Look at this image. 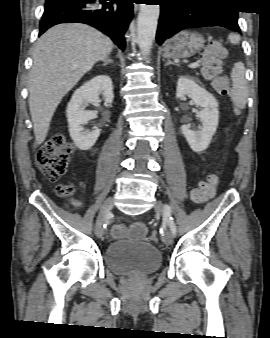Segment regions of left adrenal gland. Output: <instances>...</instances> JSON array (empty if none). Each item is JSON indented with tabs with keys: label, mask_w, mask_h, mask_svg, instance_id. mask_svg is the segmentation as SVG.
Here are the masks:
<instances>
[{
	"label": "left adrenal gland",
	"mask_w": 270,
	"mask_h": 338,
	"mask_svg": "<svg viewBox=\"0 0 270 338\" xmlns=\"http://www.w3.org/2000/svg\"><path fill=\"white\" fill-rule=\"evenodd\" d=\"M170 64L175 65V63H173L172 61L168 60V61L165 63V66H168V65H170Z\"/></svg>",
	"instance_id": "left-adrenal-gland-1"
}]
</instances>
